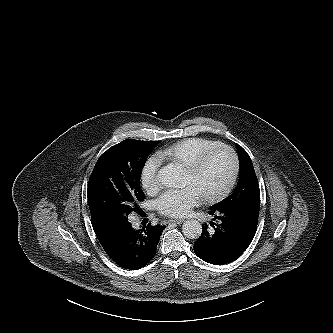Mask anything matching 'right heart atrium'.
I'll list each match as a JSON object with an SVG mask.
<instances>
[{"instance_id": "obj_1", "label": "right heart atrium", "mask_w": 333, "mask_h": 333, "mask_svg": "<svg viewBox=\"0 0 333 333\" xmlns=\"http://www.w3.org/2000/svg\"><path fill=\"white\" fill-rule=\"evenodd\" d=\"M162 162L159 154H153L144 161L141 167L140 184L148 194H156L160 189L159 170Z\"/></svg>"}]
</instances>
